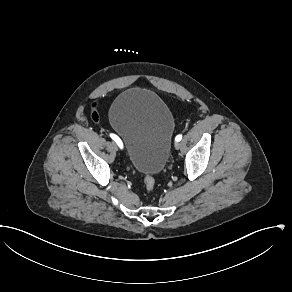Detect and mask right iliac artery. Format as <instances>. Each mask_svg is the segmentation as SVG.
I'll return each instance as SVG.
<instances>
[{
  "mask_svg": "<svg viewBox=\"0 0 292 292\" xmlns=\"http://www.w3.org/2000/svg\"><path fill=\"white\" fill-rule=\"evenodd\" d=\"M110 137L117 143V145L122 149L123 148V143L121 139L115 135V134H110Z\"/></svg>",
  "mask_w": 292,
  "mask_h": 292,
  "instance_id": "right-iliac-artery-1",
  "label": "right iliac artery"
}]
</instances>
